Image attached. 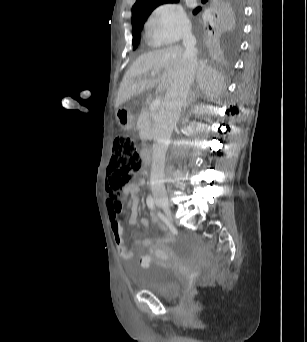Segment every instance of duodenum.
<instances>
[{
  "label": "duodenum",
  "mask_w": 307,
  "mask_h": 342,
  "mask_svg": "<svg viewBox=\"0 0 307 342\" xmlns=\"http://www.w3.org/2000/svg\"><path fill=\"white\" fill-rule=\"evenodd\" d=\"M141 157H142L144 165L149 166L151 162V158H152L151 151L148 148H142Z\"/></svg>",
  "instance_id": "obj_1"
}]
</instances>
